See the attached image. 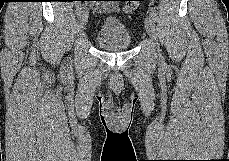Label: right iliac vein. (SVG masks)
Returning a JSON list of instances; mask_svg holds the SVG:
<instances>
[{
	"mask_svg": "<svg viewBox=\"0 0 229 161\" xmlns=\"http://www.w3.org/2000/svg\"><path fill=\"white\" fill-rule=\"evenodd\" d=\"M88 21V10L84 7L79 12L77 32L80 34L85 29V26Z\"/></svg>",
	"mask_w": 229,
	"mask_h": 161,
	"instance_id": "right-iliac-vein-1",
	"label": "right iliac vein"
}]
</instances>
